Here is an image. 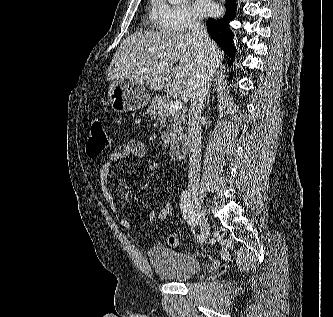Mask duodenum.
I'll return each mask as SVG.
<instances>
[{
	"label": "duodenum",
	"instance_id": "1",
	"mask_svg": "<svg viewBox=\"0 0 333 317\" xmlns=\"http://www.w3.org/2000/svg\"><path fill=\"white\" fill-rule=\"evenodd\" d=\"M189 141L186 135L175 138L169 147V153L172 159L181 160L188 151Z\"/></svg>",
	"mask_w": 333,
	"mask_h": 317
}]
</instances>
